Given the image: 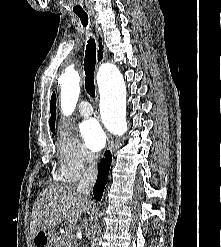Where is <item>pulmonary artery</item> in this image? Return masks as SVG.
Here are the masks:
<instances>
[{
	"instance_id": "1",
	"label": "pulmonary artery",
	"mask_w": 221,
	"mask_h": 247,
	"mask_svg": "<svg viewBox=\"0 0 221 247\" xmlns=\"http://www.w3.org/2000/svg\"><path fill=\"white\" fill-rule=\"evenodd\" d=\"M79 112L82 116L88 117L93 113V109L88 101H82L79 106Z\"/></svg>"
}]
</instances>
